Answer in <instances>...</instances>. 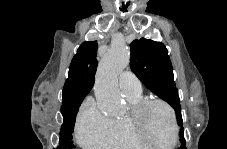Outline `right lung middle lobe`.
Here are the masks:
<instances>
[{
	"label": "right lung middle lobe",
	"mask_w": 227,
	"mask_h": 149,
	"mask_svg": "<svg viewBox=\"0 0 227 149\" xmlns=\"http://www.w3.org/2000/svg\"><path fill=\"white\" fill-rule=\"evenodd\" d=\"M83 99L66 106H61V113L64 118V122L60 131V141L59 147L60 149H70L74 147L73 144V136L72 133L74 131L75 119L79 109L80 104Z\"/></svg>",
	"instance_id": "obj_1"
}]
</instances>
